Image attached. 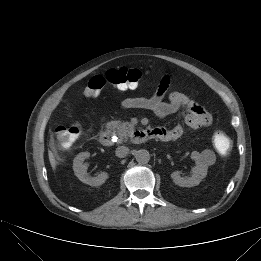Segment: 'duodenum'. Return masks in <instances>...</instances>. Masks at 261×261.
I'll return each instance as SVG.
<instances>
[{"label": "duodenum", "mask_w": 261, "mask_h": 261, "mask_svg": "<svg viewBox=\"0 0 261 261\" xmlns=\"http://www.w3.org/2000/svg\"><path fill=\"white\" fill-rule=\"evenodd\" d=\"M159 132L157 129H146L136 131L133 136V141L135 143H143L148 140L158 138ZM100 142L104 146H110L114 144V136L110 130H102L99 135Z\"/></svg>", "instance_id": "duodenum-1"}]
</instances>
